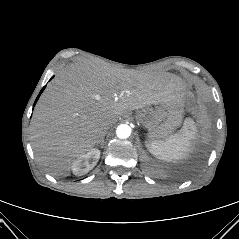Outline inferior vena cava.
<instances>
[{
    "mask_svg": "<svg viewBox=\"0 0 239 239\" xmlns=\"http://www.w3.org/2000/svg\"><path fill=\"white\" fill-rule=\"evenodd\" d=\"M117 120L115 118H111V119H108V120H105L103 122V128L104 130L108 129L109 127H111Z\"/></svg>",
    "mask_w": 239,
    "mask_h": 239,
    "instance_id": "obj_1",
    "label": "inferior vena cava"
}]
</instances>
